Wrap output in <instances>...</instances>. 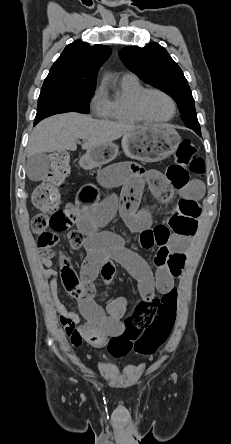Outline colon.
<instances>
[{"instance_id":"obj_1","label":"colon","mask_w":231,"mask_h":444,"mask_svg":"<svg viewBox=\"0 0 231 444\" xmlns=\"http://www.w3.org/2000/svg\"><path fill=\"white\" fill-rule=\"evenodd\" d=\"M52 167L42 183L34 190L33 204L41 211L31 222L34 233L39 235V245L57 256L61 266V278L68 293L79 296L82 292L80 280L68 258L61 252H52L55 239L52 234L65 231L74 224V218L67 209H59L60 193L65 187L67 174V156L54 154ZM205 172V163L195 145L183 141L177 151L175 162L166 171V177L177 188H185L191 182L190 175L201 176ZM200 209L196 202L181 199L174 216L169 220V227L157 226L154 230L159 236L169 232L184 237L194 235ZM176 290H171L161 297L154 296L149 301L139 303L131 316L124 319L125 329L113 336L108 343V353L119 359L132 351L144 355H153L167 341L175 321Z\"/></svg>"}]
</instances>
